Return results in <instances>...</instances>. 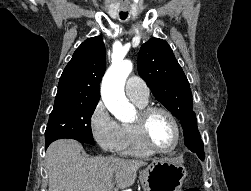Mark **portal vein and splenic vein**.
Returning a JSON list of instances; mask_svg holds the SVG:
<instances>
[{
  "label": "portal vein and splenic vein",
  "instance_id": "portal-vein-and-splenic-vein-1",
  "mask_svg": "<svg viewBox=\"0 0 251 191\" xmlns=\"http://www.w3.org/2000/svg\"><path fill=\"white\" fill-rule=\"evenodd\" d=\"M95 191H106V189H104V187H101V185H99V187H97Z\"/></svg>",
  "mask_w": 251,
  "mask_h": 191
}]
</instances>
